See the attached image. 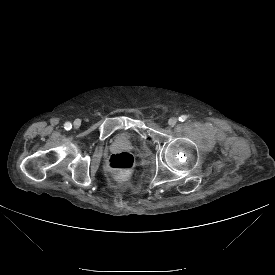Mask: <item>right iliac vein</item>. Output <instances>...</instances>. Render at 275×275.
I'll use <instances>...</instances> for the list:
<instances>
[{
  "label": "right iliac vein",
  "instance_id": "right-iliac-vein-1",
  "mask_svg": "<svg viewBox=\"0 0 275 275\" xmlns=\"http://www.w3.org/2000/svg\"><path fill=\"white\" fill-rule=\"evenodd\" d=\"M80 124H81L80 120H78V119L75 120V121H74V128H76V129L79 128V127H80Z\"/></svg>",
  "mask_w": 275,
  "mask_h": 275
}]
</instances>
